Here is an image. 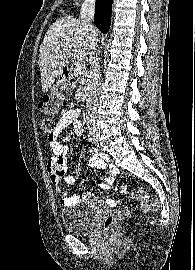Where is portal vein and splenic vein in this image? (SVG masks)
<instances>
[{
  "label": "portal vein and splenic vein",
  "mask_w": 195,
  "mask_h": 270,
  "mask_svg": "<svg viewBox=\"0 0 195 270\" xmlns=\"http://www.w3.org/2000/svg\"><path fill=\"white\" fill-rule=\"evenodd\" d=\"M74 58H77V59H83L84 56H85V52L82 51V50H74V54H73Z\"/></svg>",
  "instance_id": "18ae733b"
}]
</instances>
